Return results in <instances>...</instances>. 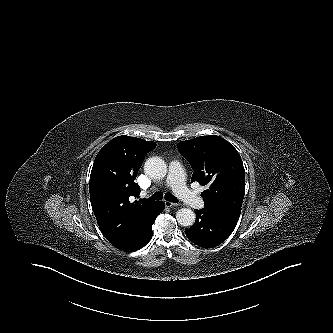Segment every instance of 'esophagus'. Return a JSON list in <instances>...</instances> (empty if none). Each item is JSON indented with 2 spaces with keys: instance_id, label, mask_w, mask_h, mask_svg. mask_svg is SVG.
Listing matches in <instances>:
<instances>
[{
  "instance_id": "1",
  "label": "esophagus",
  "mask_w": 333,
  "mask_h": 333,
  "mask_svg": "<svg viewBox=\"0 0 333 333\" xmlns=\"http://www.w3.org/2000/svg\"><path fill=\"white\" fill-rule=\"evenodd\" d=\"M165 206L166 207H175V206H178V204L172 203V202H169V201H165Z\"/></svg>"
}]
</instances>
